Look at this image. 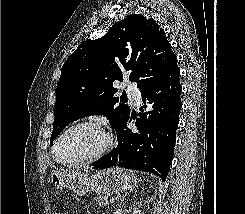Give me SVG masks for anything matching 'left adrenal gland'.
Wrapping results in <instances>:
<instances>
[{"mask_svg":"<svg viewBox=\"0 0 245 214\" xmlns=\"http://www.w3.org/2000/svg\"><path fill=\"white\" fill-rule=\"evenodd\" d=\"M132 190H133V189H132ZM125 196H126V194H124V195L121 197V199H120L121 202L123 201V199L125 198Z\"/></svg>","mask_w":245,"mask_h":214,"instance_id":"a2214340","label":"left adrenal gland"}]
</instances>
